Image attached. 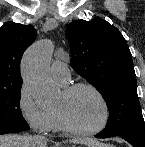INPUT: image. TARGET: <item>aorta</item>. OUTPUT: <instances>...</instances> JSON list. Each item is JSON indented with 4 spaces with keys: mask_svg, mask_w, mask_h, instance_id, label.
Returning <instances> with one entry per match:
<instances>
[{
    "mask_svg": "<svg viewBox=\"0 0 145 147\" xmlns=\"http://www.w3.org/2000/svg\"><path fill=\"white\" fill-rule=\"evenodd\" d=\"M52 52V42L41 40L30 46L22 59L21 73L37 104L52 100L57 93L49 73Z\"/></svg>",
    "mask_w": 145,
    "mask_h": 147,
    "instance_id": "762f6f07",
    "label": "aorta"
}]
</instances>
